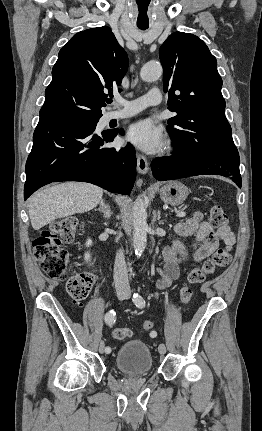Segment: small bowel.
<instances>
[{
	"instance_id": "obj_1",
	"label": "small bowel",
	"mask_w": 262,
	"mask_h": 431,
	"mask_svg": "<svg viewBox=\"0 0 262 431\" xmlns=\"http://www.w3.org/2000/svg\"><path fill=\"white\" fill-rule=\"evenodd\" d=\"M202 217V213L196 212L191 218L176 225V232L180 237H194L193 255L197 260L211 255L217 249L220 240L228 249L235 244V236L228 226L213 227L208 222H201ZM186 252V247L180 239H175L164 249V266L161 270L162 277L157 282L158 290L165 289L173 281L178 280L179 265ZM153 333L154 331L150 333L151 337Z\"/></svg>"
}]
</instances>
